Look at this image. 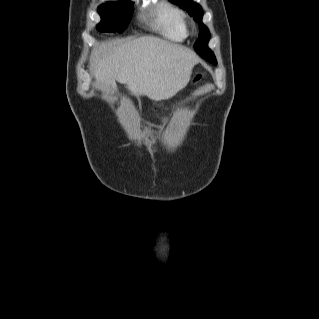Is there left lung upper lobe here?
I'll list each match as a JSON object with an SVG mask.
<instances>
[{"label":"left lung upper lobe","instance_id":"left-lung-upper-lobe-1","mask_svg":"<svg viewBox=\"0 0 319 319\" xmlns=\"http://www.w3.org/2000/svg\"><path fill=\"white\" fill-rule=\"evenodd\" d=\"M172 3L179 5L182 9L186 10L190 16L194 17V20L199 23V38L195 43V50L199 53L202 50L207 56L208 61L215 57L213 52L208 48L207 44L210 39V33L208 28L202 23L203 11L199 4L192 0H169ZM198 47V48H197Z\"/></svg>","mask_w":319,"mask_h":319}]
</instances>
